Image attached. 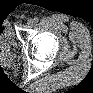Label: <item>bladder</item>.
Segmentation results:
<instances>
[{
  "instance_id": "obj_1",
  "label": "bladder",
  "mask_w": 93,
  "mask_h": 93,
  "mask_svg": "<svg viewBox=\"0 0 93 93\" xmlns=\"http://www.w3.org/2000/svg\"><path fill=\"white\" fill-rule=\"evenodd\" d=\"M10 36H11V32L6 29L5 31H2L1 40L5 42L7 38Z\"/></svg>"
}]
</instances>
